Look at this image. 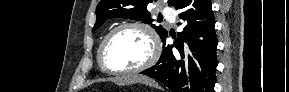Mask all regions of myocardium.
Segmentation results:
<instances>
[{
    "label": "myocardium",
    "mask_w": 289,
    "mask_h": 92,
    "mask_svg": "<svg viewBox=\"0 0 289 92\" xmlns=\"http://www.w3.org/2000/svg\"><path fill=\"white\" fill-rule=\"evenodd\" d=\"M126 28H138L141 29L146 33L148 36L150 43H151V53L148 59L142 63L141 65L130 68V69H122V70H115L108 67V65L105 62V52L106 48L111 41V39L121 30ZM161 53V45L159 38L154 31V29L147 23L141 22V21H129V22H123L119 24L118 26L114 27L110 32L107 33V35L102 40L99 51H98V63L100 68L109 74L114 75H127V74H135L139 73L141 71H144L154 65Z\"/></svg>",
    "instance_id": "f54148a6"
}]
</instances>
